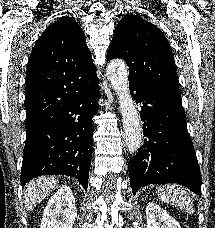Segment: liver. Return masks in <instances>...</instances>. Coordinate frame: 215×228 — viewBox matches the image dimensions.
<instances>
[{"label": "liver", "instance_id": "1", "mask_svg": "<svg viewBox=\"0 0 215 228\" xmlns=\"http://www.w3.org/2000/svg\"><path fill=\"white\" fill-rule=\"evenodd\" d=\"M57 186L58 182L54 176H40V178L28 182V184L24 186V200L27 210L33 212L34 208H36L46 196H49Z\"/></svg>", "mask_w": 215, "mask_h": 228}]
</instances>
